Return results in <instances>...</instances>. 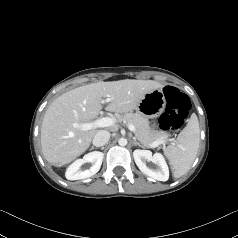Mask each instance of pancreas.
<instances>
[{
  "mask_svg": "<svg viewBox=\"0 0 238 238\" xmlns=\"http://www.w3.org/2000/svg\"><path fill=\"white\" fill-rule=\"evenodd\" d=\"M116 119L119 122L132 124L135 126L136 138L146 147L158 140H163L168 137V134L163 131H152L149 127V121L146 117L136 113L117 114Z\"/></svg>",
  "mask_w": 238,
  "mask_h": 238,
  "instance_id": "obj_1",
  "label": "pancreas"
}]
</instances>
